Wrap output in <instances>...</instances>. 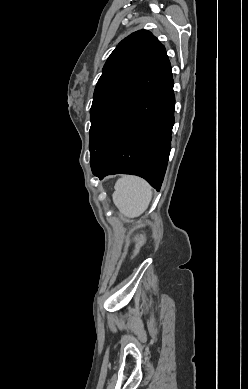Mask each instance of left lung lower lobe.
<instances>
[{"label":"left lung lower lobe","instance_id":"obj_1","mask_svg":"<svg viewBox=\"0 0 248 389\" xmlns=\"http://www.w3.org/2000/svg\"><path fill=\"white\" fill-rule=\"evenodd\" d=\"M175 97L166 51L94 121L105 144L91 153L94 175H138L160 190L171 149Z\"/></svg>","mask_w":248,"mask_h":389}]
</instances>
